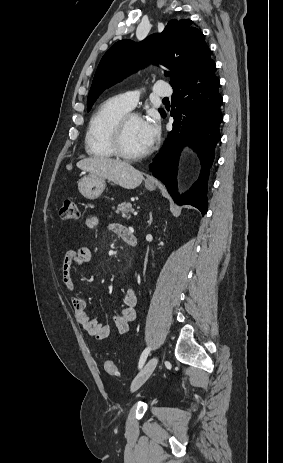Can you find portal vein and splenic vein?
Segmentation results:
<instances>
[{
    "label": "portal vein and splenic vein",
    "instance_id": "portal-vein-and-splenic-vein-1",
    "mask_svg": "<svg viewBox=\"0 0 283 463\" xmlns=\"http://www.w3.org/2000/svg\"><path fill=\"white\" fill-rule=\"evenodd\" d=\"M133 214H134V215H137L138 213H137V212H134Z\"/></svg>",
    "mask_w": 283,
    "mask_h": 463
}]
</instances>
